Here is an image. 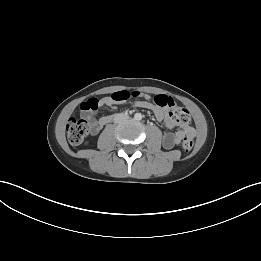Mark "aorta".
Masks as SVG:
<instances>
[{"label":"aorta","mask_w":261,"mask_h":261,"mask_svg":"<svg viewBox=\"0 0 261 261\" xmlns=\"http://www.w3.org/2000/svg\"><path fill=\"white\" fill-rule=\"evenodd\" d=\"M134 118H135V120H141L142 119V115L140 113H136L134 115Z\"/></svg>","instance_id":"762f6f07"}]
</instances>
